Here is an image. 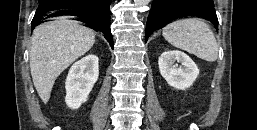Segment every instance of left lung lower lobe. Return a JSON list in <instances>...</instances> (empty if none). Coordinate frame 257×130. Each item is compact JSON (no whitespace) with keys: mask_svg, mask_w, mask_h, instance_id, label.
Here are the masks:
<instances>
[{"mask_svg":"<svg viewBox=\"0 0 257 130\" xmlns=\"http://www.w3.org/2000/svg\"><path fill=\"white\" fill-rule=\"evenodd\" d=\"M188 16L209 20L218 27L212 0H153L146 24V41L153 31Z\"/></svg>","mask_w":257,"mask_h":130,"instance_id":"left-lung-lower-lobe-1","label":"left lung lower lobe"}]
</instances>
